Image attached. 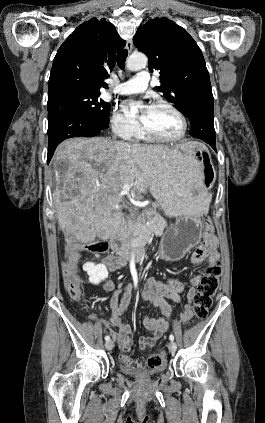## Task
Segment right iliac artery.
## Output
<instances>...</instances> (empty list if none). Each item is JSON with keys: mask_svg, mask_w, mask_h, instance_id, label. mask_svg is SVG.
Returning a JSON list of instances; mask_svg holds the SVG:
<instances>
[{"mask_svg": "<svg viewBox=\"0 0 265 423\" xmlns=\"http://www.w3.org/2000/svg\"><path fill=\"white\" fill-rule=\"evenodd\" d=\"M131 274L133 276V280H134V286L137 287V283H138V278H137V272L134 266H131ZM105 340L109 341L110 337L109 336H105Z\"/></svg>", "mask_w": 265, "mask_h": 423, "instance_id": "1", "label": "right iliac artery"}]
</instances>
